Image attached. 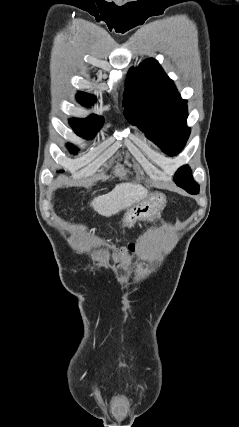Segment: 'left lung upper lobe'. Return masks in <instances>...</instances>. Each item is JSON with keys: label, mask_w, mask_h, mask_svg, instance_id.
<instances>
[{"label": "left lung upper lobe", "mask_w": 239, "mask_h": 427, "mask_svg": "<svg viewBox=\"0 0 239 427\" xmlns=\"http://www.w3.org/2000/svg\"><path fill=\"white\" fill-rule=\"evenodd\" d=\"M124 116L145 132L168 155L178 154L190 134L186 126L187 101L154 59L131 68L126 78ZM175 182L184 190L199 189L188 166L178 169Z\"/></svg>", "instance_id": "left-lung-upper-lobe-1"}]
</instances>
